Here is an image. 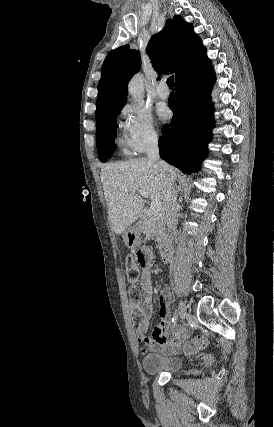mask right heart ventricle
Returning <instances> with one entry per match:
<instances>
[{
    "mask_svg": "<svg viewBox=\"0 0 274 427\" xmlns=\"http://www.w3.org/2000/svg\"><path fill=\"white\" fill-rule=\"evenodd\" d=\"M117 143H118L119 149L123 155H125V156L133 155V152H132L131 148L129 147V145L125 139L119 137L117 139Z\"/></svg>",
    "mask_w": 274,
    "mask_h": 427,
    "instance_id": "e07e8e85",
    "label": "right heart ventricle"
}]
</instances>
